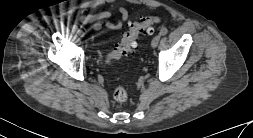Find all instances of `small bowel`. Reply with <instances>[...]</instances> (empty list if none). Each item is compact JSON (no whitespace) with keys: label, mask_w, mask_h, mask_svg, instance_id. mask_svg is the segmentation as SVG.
Segmentation results:
<instances>
[{"label":"small bowel","mask_w":253,"mask_h":138,"mask_svg":"<svg viewBox=\"0 0 253 138\" xmlns=\"http://www.w3.org/2000/svg\"><path fill=\"white\" fill-rule=\"evenodd\" d=\"M110 17H111L110 11L102 10L98 13L83 15L80 17V21L83 24H92L93 31L97 32L102 28L103 22L108 20ZM128 17L129 13L127 9L121 8L119 10V18L117 19V21L116 22L106 21L104 25L111 30L120 29L122 25L127 21Z\"/></svg>","instance_id":"small-bowel-1"}]
</instances>
